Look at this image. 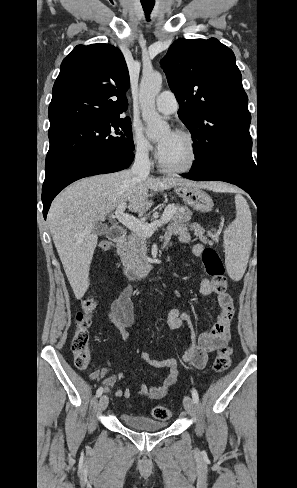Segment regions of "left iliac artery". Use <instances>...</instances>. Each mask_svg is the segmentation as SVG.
<instances>
[{
    "mask_svg": "<svg viewBox=\"0 0 297 488\" xmlns=\"http://www.w3.org/2000/svg\"><path fill=\"white\" fill-rule=\"evenodd\" d=\"M192 399L195 404H198L199 402V396L197 393V390L195 388L192 389Z\"/></svg>",
    "mask_w": 297,
    "mask_h": 488,
    "instance_id": "left-iliac-artery-1",
    "label": "left iliac artery"
}]
</instances>
